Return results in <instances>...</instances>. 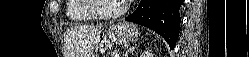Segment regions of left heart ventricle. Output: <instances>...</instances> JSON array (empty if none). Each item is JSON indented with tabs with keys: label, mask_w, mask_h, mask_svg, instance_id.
Here are the masks:
<instances>
[{
	"label": "left heart ventricle",
	"mask_w": 249,
	"mask_h": 57,
	"mask_svg": "<svg viewBox=\"0 0 249 57\" xmlns=\"http://www.w3.org/2000/svg\"><path fill=\"white\" fill-rule=\"evenodd\" d=\"M99 10L104 14L115 13L120 10L123 5L121 0H99Z\"/></svg>",
	"instance_id": "1"
}]
</instances>
